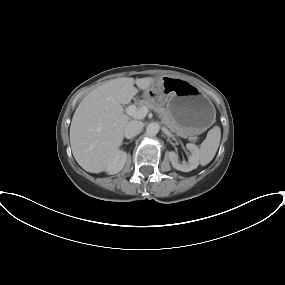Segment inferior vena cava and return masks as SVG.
I'll use <instances>...</instances> for the list:
<instances>
[{"label":"inferior vena cava","mask_w":285,"mask_h":285,"mask_svg":"<svg viewBox=\"0 0 285 285\" xmlns=\"http://www.w3.org/2000/svg\"><path fill=\"white\" fill-rule=\"evenodd\" d=\"M143 129V123L141 121L132 120L128 122L125 127L124 135L126 138H132L139 134Z\"/></svg>","instance_id":"obj_1"}]
</instances>
